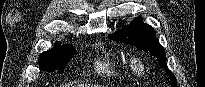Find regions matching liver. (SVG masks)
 I'll return each instance as SVG.
<instances>
[{
	"instance_id": "liver-1",
	"label": "liver",
	"mask_w": 205,
	"mask_h": 87,
	"mask_svg": "<svg viewBox=\"0 0 205 87\" xmlns=\"http://www.w3.org/2000/svg\"><path fill=\"white\" fill-rule=\"evenodd\" d=\"M89 87H93V85H92V86H89ZM94 87H97V86L94 85Z\"/></svg>"
}]
</instances>
